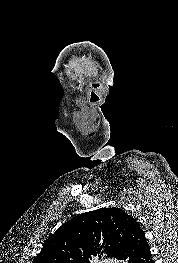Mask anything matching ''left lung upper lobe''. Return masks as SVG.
I'll use <instances>...</instances> for the list:
<instances>
[{
    "label": "left lung upper lobe",
    "instance_id": "left-lung-upper-lobe-1",
    "mask_svg": "<svg viewBox=\"0 0 178 263\" xmlns=\"http://www.w3.org/2000/svg\"><path fill=\"white\" fill-rule=\"evenodd\" d=\"M133 219L120 208L83 213L50 236L32 263H91L101 251L114 258Z\"/></svg>",
    "mask_w": 178,
    "mask_h": 263
}]
</instances>
